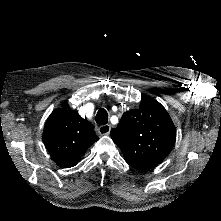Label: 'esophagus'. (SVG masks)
I'll return each instance as SVG.
<instances>
[{"instance_id":"1","label":"esophagus","mask_w":221,"mask_h":221,"mask_svg":"<svg viewBox=\"0 0 221 221\" xmlns=\"http://www.w3.org/2000/svg\"><path fill=\"white\" fill-rule=\"evenodd\" d=\"M111 131V126L109 124H105L98 127V133L102 136L109 135Z\"/></svg>"}]
</instances>
